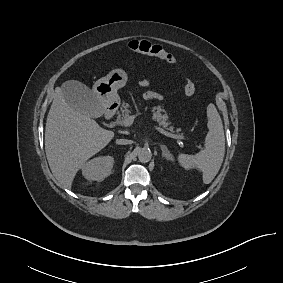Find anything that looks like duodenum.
I'll use <instances>...</instances> for the list:
<instances>
[{
  "label": "duodenum",
  "mask_w": 283,
  "mask_h": 283,
  "mask_svg": "<svg viewBox=\"0 0 283 283\" xmlns=\"http://www.w3.org/2000/svg\"><path fill=\"white\" fill-rule=\"evenodd\" d=\"M114 115V110L112 108H108L105 112V118L107 120L111 119Z\"/></svg>",
  "instance_id": "duodenum-1"
}]
</instances>
